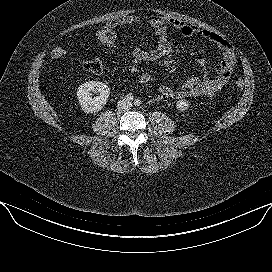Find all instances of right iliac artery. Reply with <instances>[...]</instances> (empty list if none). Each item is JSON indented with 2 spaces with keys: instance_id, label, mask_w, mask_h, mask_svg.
<instances>
[{
  "instance_id": "1",
  "label": "right iliac artery",
  "mask_w": 272,
  "mask_h": 272,
  "mask_svg": "<svg viewBox=\"0 0 272 272\" xmlns=\"http://www.w3.org/2000/svg\"><path fill=\"white\" fill-rule=\"evenodd\" d=\"M125 98L127 101H132L134 99V96H133V94L129 93L125 96Z\"/></svg>"
}]
</instances>
